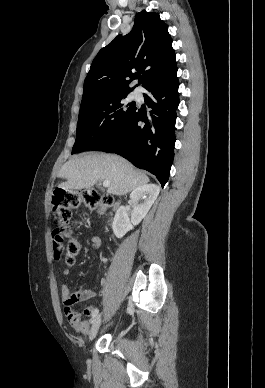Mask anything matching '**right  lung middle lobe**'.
Returning a JSON list of instances; mask_svg holds the SVG:
<instances>
[{
	"mask_svg": "<svg viewBox=\"0 0 265 388\" xmlns=\"http://www.w3.org/2000/svg\"><path fill=\"white\" fill-rule=\"evenodd\" d=\"M129 93L105 90L82 99L72 154L101 150L115 137L136 110L124 103Z\"/></svg>",
	"mask_w": 265,
	"mask_h": 388,
	"instance_id": "right-lung-middle-lobe-1",
	"label": "right lung middle lobe"
}]
</instances>
